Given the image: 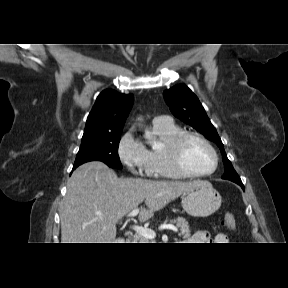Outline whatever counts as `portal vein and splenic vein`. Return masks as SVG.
<instances>
[{
  "mask_svg": "<svg viewBox=\"0 0 288 288\" xmlns=\"http://www.w3.org/2000/svg\"><path fill=\"white\" fill-rule=\"evenodd\" d=\"M139 213V209L138 208H135L133 209L130 213H128L127 217H135L137 214ZM132 229L138 233L139 235L145 237L146 239H154L155 236H156V233L149 229V228H144L142 226H138V225H134L132 227ZM160 230H164V229H167V230H172V231H177V229L170 225V224H163L160 226L159 228Z\"/></svg>",
  "mask_w": 288,
  "mask_h": 288,
  "instance_id": "1",
  "label": "portal vein and splenic vein"
}]
</instances>
